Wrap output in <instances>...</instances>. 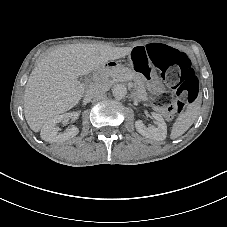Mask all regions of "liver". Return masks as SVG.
<instances>
[{
	"mask_svg": "<svg viewBox=\"0 0 227 227\" xmlns=\"http://www.w3.org/2000/svg\"><path fill=\"white\" fill-rule=\"evenodd\" d=\"M132 47L101 44H70L51 50L36 61L24 90V115L34 132L58 114L76 106L92 94L78 78L99 72L107 62L129 55ZM105 89L106 85H102Z\"/></svg>",
	"mask_w": 227,
	"mask_h": 227,
	"instance_id": "liver-1",
	"label": "liver"
}]
</instances>
